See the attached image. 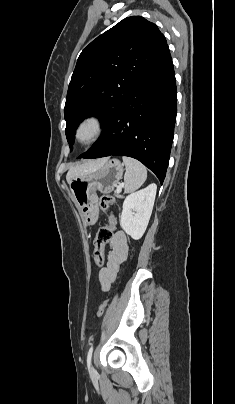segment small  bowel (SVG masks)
<instances>
[{"mask_svg":"<svg viewBox=\"0 0 235 404\" xmlns=\"http://www.w3.org/2000/svg\"><path fill=\"white\" fill-rule=\"evenodd\" d=\"M111 250L107 257L106 266L98 273V280L102 291L110 290L121 265L128 256V243L124 232H116L111 239Z\"/></svg>","mask_w":235,"mask_h":404,"instance_id":"small-bowel-1","label":"small bowel"}]
</instances>
